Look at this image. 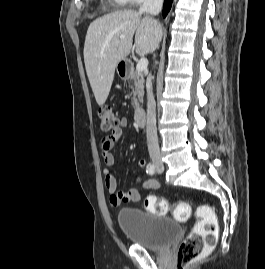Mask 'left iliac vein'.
Masks as SVG:
<instances>
[{
    "label": "left iliac vein",
    "mask_w": 265,
    "mask_h": 269,
    "mask_svg": "<svg viewBox=\"0 0 265 269\" xmlns=\"http://www.w3.org/2000/svg\"><path fill=\"white\" fill-rule=\"evenodd\" d=\"M164 170L163 164L161 161H157V172L160 174Z\"/></svg>",
    "instance_id": "4c4485c4"
}]
</instances>
